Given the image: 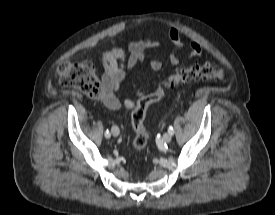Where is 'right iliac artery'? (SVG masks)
I'll return each instance as SVG.
<instances>
[{"instance_id":"1","label":"right iliac artery","mask_w":275,"mask_h":215,"mask_svg":"<svg viewBox=\"0 0 275 215\" xmlns=\"http://www.w3.org/2000/svg\"><path fill=\"white\" fill-rule=\"evenodd\" d=\"M105 137H106V138H110V132H109L108 129H107L106 132H105Z\"/></svg>"}]
</instances>
